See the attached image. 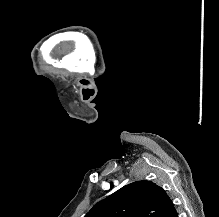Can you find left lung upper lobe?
I'll return each mask as SVG.
<instances>
[{
    "instance_id": "left-lung-upper-lobe-1",
    "label": "left lung upper lobe",
    "mask_w": 219,
    "mask_h": 217,
    "mask_svg": "<svg viewBox=\"0 0 219 217\" xmlns=\"http://www.w3.org/2000/svg\"><path fill=\"white\" fill-rule=\"evenodd\" d=\"M165 190L147 180L125 185L98 202L85 217H177Z\"/></svg>"
}]
</instances>
